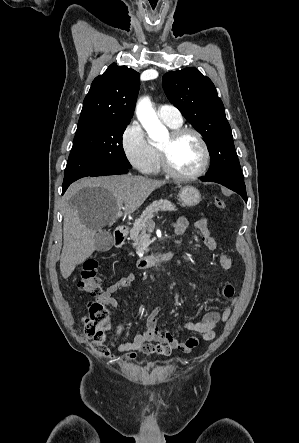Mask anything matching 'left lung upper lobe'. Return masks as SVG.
Instances as JSON below:
<instances>
[{
	"mask_svg": "<svg viewBox=\"0 0 299 443\" xmlns=\"http://www.w3.org/2000/svg\"><path fill=\"white\" fill-rule=\"evenodd\" d=\"M163 88L207 142L211 158L207 176L243 178L232 131L212 81L196 68H185L164 74Z\"/></svg>",
	"mask_w": 299,
	"mask_h": 443,
	"instance_id": "5c2ea615",
	"label": "left lung upper lobe"
}]
</instances>
